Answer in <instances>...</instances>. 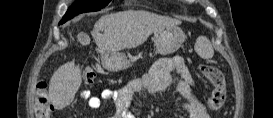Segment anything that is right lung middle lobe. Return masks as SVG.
<instances>
[{
	"mask_svg": "<svg viewBox=\"0 0 273 118\" xmlns=\"http://www.w3.org/2000/svg\"><path fill=\"white\" fill-rule=\"evenodd\" d=\"M110 1L111 0H76L68 9L62 20H64L65 23L78 14L99 11L106 7Z\"/></svg>",
	"mask_w": 273,
	"mask_h": 118,
	"instance_id": "1",
	"label": "right lung middle lobe"
}]
</instances>
